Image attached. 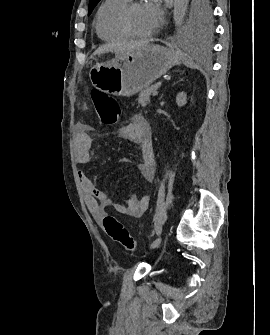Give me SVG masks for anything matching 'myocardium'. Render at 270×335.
<instances>
[{
  "mask_svg": "<svg viewBox=\"0 0 270 335\" xmlns=\"http://www.w3.org/2000/svg\"><path fill=\"white\" fill-rule=\"evenodd\" d=\"M136 6H138L137 3H134V4H130L129 3V5H127L125 8H123L119 12V15H118V26L121 29V31L124 34H126L127 36L132 37V38H141L143 36L139 35V34L133 33L131 31L129 25H128V16H129V13Z\"/></svg>",
  "mask_w": 270,
  "mask_h": 335,
  "instance_id": "1",
  "label": "myocardium"
}]
</instances>
